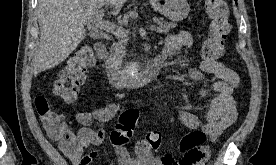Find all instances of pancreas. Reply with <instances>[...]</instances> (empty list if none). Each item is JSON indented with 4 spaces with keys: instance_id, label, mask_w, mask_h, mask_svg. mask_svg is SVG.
<instances>
[{
    "instance_id": "obj_1",
    "label": "pancreas",
    "mask_w": 276,
    "mask_h": 165,
    "mask_svg": "<svg viewBox=\"0 0 276 165\" xmlns=\"http://www.w3.org/2000/svg\"><path fill=\"white\" fill-rule=\"evenodd\" d=\"M153 21L158 25L156 31L158 33H168L171 28L176 25L174 23H168L161 18L154 17ZM127 43V37H119L117 43H113L109 50L108 59L116 66H121L123 58L125 56V45Z\"/></svg>"
}]
</instances>
